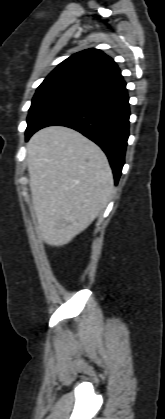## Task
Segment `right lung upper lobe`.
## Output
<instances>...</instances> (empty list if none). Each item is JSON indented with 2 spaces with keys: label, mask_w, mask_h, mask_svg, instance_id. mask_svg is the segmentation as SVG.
<instances>
[{
  "label": "right lung upper lobe",
  "mask_w": 165,
  "mask_h": 419,
  "mask_svg": "<svg viewBox=\"0 0 165 419\" xmlns=\"http://www.w3.org/2000/svg\"><path fill=\"white\" fill-rule=\"evenodd\" d=\"M116 63L98 49L73 54L60 63L38 89L60 87L90 94L122 80Z\"/></svg>",
  "instance_id": "obj_1"
}]
</instances>
